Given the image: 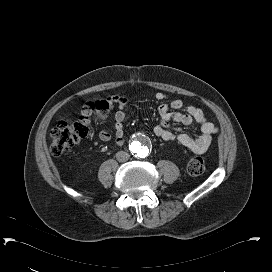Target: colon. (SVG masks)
<instances>
[{
  "mask_svg": "<svg viewBox=\"0 0 272 272\" xmlns=\"http://www.w3.org/2000/svg\"><path fill=\"white\" fill-rule=\"evenodd\" d=\"M108 100H97L84 107L78 116L60 121L51 131V153L62 155L70 151L89 131L93 115L105 118L110 109ZM187 171L191 175H200L205 171V161L201 157H192L187 164Z\"/></svg>",
  "mask_w": 272,
  "mask_h": 272,
  "instance_id": "1",
  "label": "colon"
}]
</instances>
